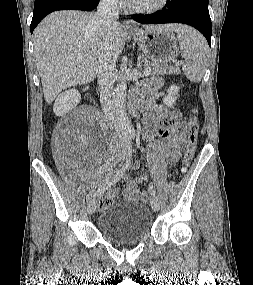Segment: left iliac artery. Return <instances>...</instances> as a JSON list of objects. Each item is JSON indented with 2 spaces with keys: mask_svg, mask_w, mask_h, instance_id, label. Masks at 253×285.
<instances>
[{
  "mask_svg": "<svg viewBox=\"0 0 253 285\" xmlns=\"http://www.w3.org/2000/svg\"><path fill=\"white\" fill-rule=\"evenodd\" d=\"M148 191H149V193H150L151 195L155 196L156 191H155V188H154V186H153L152 183L149 184V186H148Z\"/></svg>",
  "mask_w": 253,
  "mask_h": 285,
  "instance_id": "44dca946",
  "label": "left iliac artery"
}]
</instances>
